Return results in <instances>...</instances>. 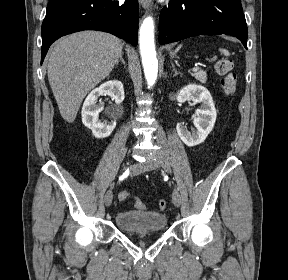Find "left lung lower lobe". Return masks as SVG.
<instances>
[{"label":"left lung lower lobe","instance_id":"1","mask_svg":"<svg viewBox=\"0 0 288 280\" xmlns=\"http://www.w3.org/2000/svg\"><path fill=\"white\" fill-rule=\"evenodd\" d=\"M226 34L247 49V25L242 8L228 0H172L160 13L159 43L197 35Z\"/></svg>","mask_w":288,"mask_h":280}]
</instances>
